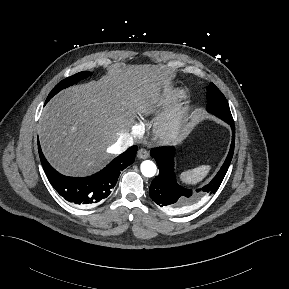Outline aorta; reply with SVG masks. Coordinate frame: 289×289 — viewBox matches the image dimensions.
Returning a JSON list of instances; mask_svg holds the SVG:
<instances>
[{"instance_id":"762f6f07","label":"aorta","mask_w":289,"mask_h":289,"mask_svg":"<svg viewBox=\"0 0 289 289\" xmlns=\"http://www.w3.org/2000/svg\"><path fill=\"white\" fill-rule=\"evenodd\" d=\"M157 167L153 161L146 160L141 163V172L145 177H153Z\"/></svg>"}]
</instances>
